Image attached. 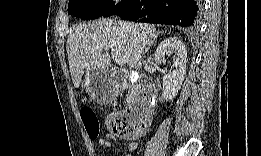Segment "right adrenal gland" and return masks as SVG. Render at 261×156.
Returning <instances> with one entry per match:
<instances>
[{"mask_svg":"<svg viewBox=\"0 0 261 156\" xmlns=\"http://www.w3.org/2000/svg\"><path fill=\"white\" fill-rule=\"evenodd\" d=\"M154 42H152V43H150L146 48H145V50H144V53L143 54H145V53H147L148 52V50L150 49V47L152 46V44H153Z\"/></svg>","mask_w":261,"mask_h":156,"instance_id":"1","label":"right adrenal gland"}]
</instances>
